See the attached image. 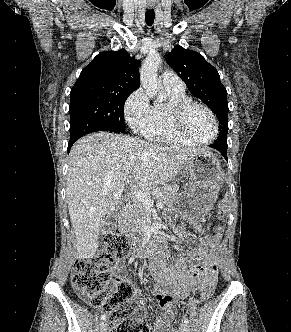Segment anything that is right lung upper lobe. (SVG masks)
Here are the masks:
<instances>
[{"instance_id":"1","label":"right lung upper lobe","mask_w":291,"mask_h":332,"mask_svg":"<svg viewBox=\"0 0 291 332\" xmlns=\"http://www.w3.org/2000/svg\"><path fill=\"white\" fill-rule=\"evenodd\" d=\"M139 85V60L125 49L104 51L82 70L70 99L99 93H132Z\"/></svg>"}]
</instances>
